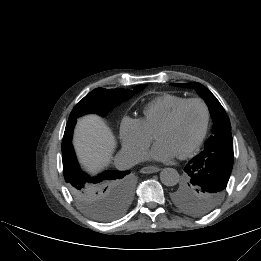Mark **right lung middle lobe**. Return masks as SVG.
Segmentation results:
<instances>
[{"instance_id": "obj_1", "label": "right lung middle lobe", "mask_w": 261, "mask_h": 261, "mask_svg": "<svg viewBox=\"0 0 261 261\" xmlns=\"http://www.w3.org/2000/svg\"><path fill=\"white\" fill-rule=\"evenodd\" d=\"M145 86L138 85L133 90L96 88L74 107L69 119H76L87 113L105 116ZM124 176L87 183L83 181L84 177L80 172L64 173L65 181L78 206L98 221H109L118 217L130 203L132 188Z\"/></svg>"}]
</instances>
